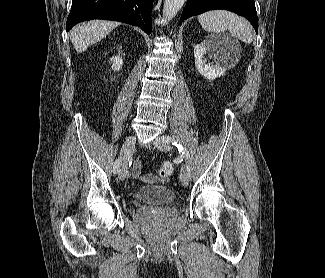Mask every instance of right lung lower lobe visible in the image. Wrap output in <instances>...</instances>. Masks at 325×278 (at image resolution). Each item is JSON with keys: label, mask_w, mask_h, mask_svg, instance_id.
<instances>
[{"label": "right lung lower lobe", "mask_w": 325, "mask_h": 278, "mask_svg": "<svg viewBox=\"0 0 325 278\" xmlns=\"http://www.w3.org/2000/svg\"><path fill=\"white\" fill-rule=\"evenodd\" d=\"M152 5L153 0H73L67 31L82 21L106 19L139 26L150 34Z\"/></svg>", "instance_id": "1"}]
</instances>
